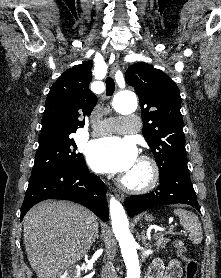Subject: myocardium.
<instances>
[{
  "mask_svg": "<svg viewBox=\"0 0 221 278\" xmlns=\"http://www.w3.org/2000/svg\"><path fill=\"white\" fill-rule=\"evenodd\" d=\"M138 160L147 166L149 176L144 183L138 185L129 183L124 176L120 177L118 180L120 188L129 193H147L157 186L160 179L159 166L152 157L141 155Z\"/></svg>",
  "mask_w": 221,
  "mask_h": 278,
  "instance_id": "obj_1",
  "label": "myocardium"
}]
</instances>
